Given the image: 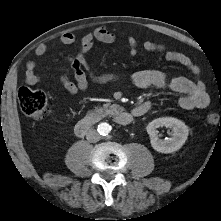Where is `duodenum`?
<instances>
[{
    "instance_id": "obj_1",
    "label": "duodenum",
    "mask_w": 221,
    "mask_h": 221,
    "mask_svg": "<svg viewBox=\"0 0 221 221\" xmlns=\"http://www.w3.org/2000/svg\"><path fill=\"white\" fill-rule=\"evenodd\" d=\"M149 109H150L149 104H142L137 107L136 112L128 113L119 109H115L111 111L110 115L117 124L126 126V125H130L134 121L135 117L142 116L145 113H147ZM98 116H99V113L95 112L81 119L80 121H78L74 128V132L76 136L78 137L85 136L94 125L96 118Z\"/></svg>"
}]
</instances>
